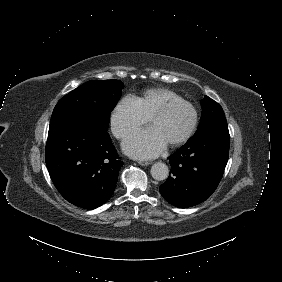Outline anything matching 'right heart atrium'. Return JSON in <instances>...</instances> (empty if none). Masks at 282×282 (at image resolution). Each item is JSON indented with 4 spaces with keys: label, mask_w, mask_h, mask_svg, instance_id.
<instances>
[{
    "label": "right heart atrium",
    "mask_w": 282,
    "mask_h": 282,
    "mask_svg": "<svg viewBox=\"0 0 282 282\" xmlns=\"http://www.w3.org/2000/svg\"><path fill=\"white\" fill-rule=\"evenodd\" d=\"M148 121L149 118L142 112L135 98L126 96L111 114V129L117 138L123 139Z\"/></svg>",
    "instance_id": "right-heart-atrium-1"
}]
</instances>
